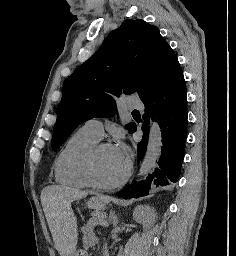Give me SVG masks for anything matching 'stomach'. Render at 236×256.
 Wrapping results in <instances>:
<instances>
[{
    "label": "stomach",
    "mask_w": 236,
    "mask_h": 256,
    "mask_svg": "<svg viewBox=\"0 0 236 256\" xmlns=\"http://www.w3.org/2000/svg\"><path fill=\"white\" fill-rule=\"evenodd\" d=\"M88 207L94 210H104L107 205V201L104 198L93 197L88 201ZM85 250H77L73 256H87Z\"/></svg>",
    "instance_id": "0dacf381"
}]
</instances>
